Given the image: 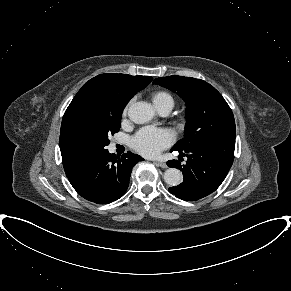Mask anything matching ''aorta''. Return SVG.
<instances>
[{
	"instance_id": "aorta-1",
	"label": "aorta",
	"mask_w": 291,
	"mask_h": 291,
	"mask_svg": "<svg viewBox=\"0 0 291 291\" xmlns=\"http://www.w3.org/2000/svg\"><path fill=\"white\" fill-rule=\"evenodd\" d=\"M128 117L136 124H145L154 117V110L147 102H136L130 105ZM164 181L169 186H177L182 183L183 175L177 168H168L164 173Z\"/></svg>"
}]
</instances>
